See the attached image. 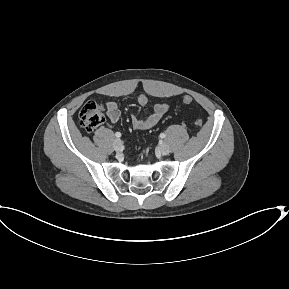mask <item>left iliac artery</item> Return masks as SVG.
Masks as SVG:
<instances>
[{
  "label": "left iliac artery",
  "instance_id": "44dca946",
  "mask_svg": "<svg viewBox=\"0 0 289 289\" xmlns=\"http://www.w3.org/2000/svg\"><path fill=\"white\" fill-rule=\"evenodd\" d=\"M165 136H166V135H165L164 133H161V134H160V138H165Z\"/></svg>",
  "mask_w": 289,
  "mask_h": 289
}]
</instances>
